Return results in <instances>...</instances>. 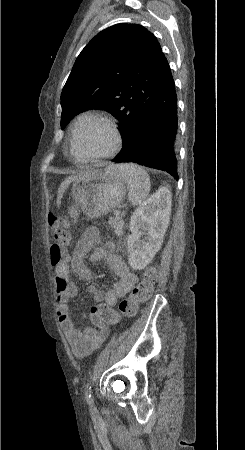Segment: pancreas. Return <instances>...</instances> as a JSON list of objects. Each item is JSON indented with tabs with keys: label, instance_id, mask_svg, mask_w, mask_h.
<instances>
[{
	"label": "pancreas",
	"instance_id": "pancreas-1",
	"mask_svg": "<svg viewBox=\"0 0 245 450\" xmlns=\"http://www.w3.org/2000/svg\"><path fill=\"white\" fill-rule=\"evenodd\" d=\"M109 224L112 228H114V233L117 236H121L123 234L124 220L122 216L115 215V217L109 220Z\"/></svg>",
	"mask_w": 245,
	"mask_h": 450
}]
</instances>
